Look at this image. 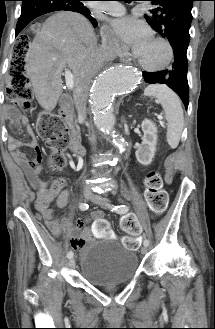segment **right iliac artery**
Masks as SVG:
<instances>
[{
  "label": "right iliac artery",
  "mask_w": 215,
  "mask_h": 329,
  "mask_svg": "<svg viewBox=\"0 0 215 329\" xmlns=\"http://www.w3.org/2000/svg\"><path fill=\"white\" fill-rule=\"evenodd\" d=\"M88 204H86V203H81L80 205H79V208H80V210H82V211H85V210H87L88 209ZM67 257L70 259V258H72L73 257V252L72 251H69L68 252V254H67Z\"/></svg>",
  "instance_id": "obj_1"
}]
</instances>
